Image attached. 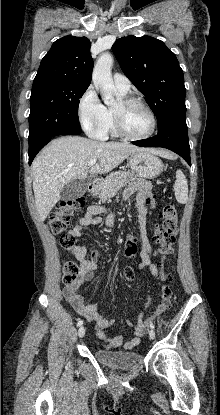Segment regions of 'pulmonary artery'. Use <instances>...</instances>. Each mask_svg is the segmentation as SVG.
<instances>
[{"instance_id":"pulmonary-artery-1","label":"pulmonary artery","mask_w":220,"mask_h":415,"mask_svg":"<svg viewBox=\"0 0 220 415\" xmlns=\"http://www.w3.org/2000/svg\"><path fill=\"white\" fill-rule=\"evenodd\" d=\"M113 82L115 90L121 94H127L130 89L129 79L119 73H115L113 76Z\"/></svg>"}]
</instances>
